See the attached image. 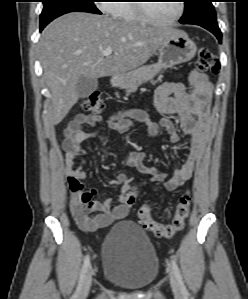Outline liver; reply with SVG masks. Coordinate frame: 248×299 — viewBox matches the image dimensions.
<instances>
[{"label": "liver", "mask_w": 248, "mask_h": 299, "mask_svg": "<svg viewBox=\"0 0 248 299\" xmlns=\"http://www.w3.org/2000/svg\"><path fill=\"white\" fill-rule=\"evenodd\" d=\"M177 30L139 25L106 15L72 12L43 30L39 56L52 95L51 123L59 124L79 99L76 85L90 78L118 76L146 63ZM107 48L113 50L104 56Z\"/></svg>", "instance_id": "obj_1"}]
</instances>
